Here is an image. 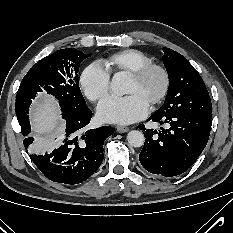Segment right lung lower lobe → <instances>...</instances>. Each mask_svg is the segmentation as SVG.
<instances>
[{"label": "right lung lower lobe", "instance_id": "98d812e1", "mask_svg": "<svg viewBox=\"0 0 233 233\" xmlns=\"http://www.w3.org/2000/svg\"><path fill=\"white\" fill-rule=\"evenodd\" d=\"M66 127L47 148L26 136L23 144L38 169L50 180L79 184L88 179L103 161V143L114 133L110 126L85 131L92 118L89 108L78 113L63 114Z\"/></svg>", "mask_w": 233, "mask_h": 233}]
</instances>
